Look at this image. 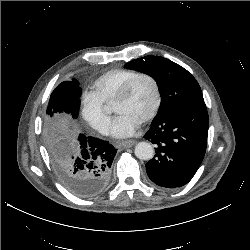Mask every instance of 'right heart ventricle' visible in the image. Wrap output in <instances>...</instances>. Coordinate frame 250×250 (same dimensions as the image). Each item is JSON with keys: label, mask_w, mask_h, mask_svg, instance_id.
I'll return each mask as SVG.
<instances>
[{"label": "right heart ventricle", "mask_w": 250, "mask_h": 250, "mask_svg": "<svg viewBox=\"0 0 250 250\" xmlns=\"http://www.w3.org/2000/svg\"><path fill=\"white\" fill-rule=\"evenodd\" d=\"M137 74L135 70L123 68L106 71L93 81L89 94L103 106L113 104L121 88Z\"/></svg>", "instance_id": "e07e8e85"}]
</instances>
